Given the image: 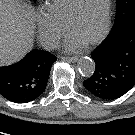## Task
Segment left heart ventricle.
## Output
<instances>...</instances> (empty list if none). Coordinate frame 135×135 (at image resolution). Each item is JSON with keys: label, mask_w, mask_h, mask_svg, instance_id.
<instances>
[{"label": "left heart ventricle", "mask_w": 135, "mask_h": 135, "mask_svg": "<svg viewBox=\"0 0 135 135\" xmlns=\"http://www.w3.org/2000/svg\"><path fill=\"white\" fill-rule=\"evenodd\" d=\"M107 0H86L82 14L70 26L68 35L82 44L95 38L102 30Z\"/></svg>", "instance_id": "obj_1"}]
</instances>
